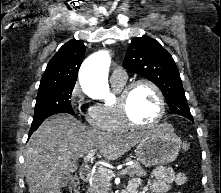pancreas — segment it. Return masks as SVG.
Returning <instances> with one entry per match:
<instances>
[{
	"mask_svg": "<svg viewBox=\"0 0 221 193\" xmlns=\"http://www.w3.org/2000/svg\"><path fill=\"white\" fill-rule=\"evenodd\" d=\"M126 161H130V159H126ZM128 176H145V170L140 166L138 162H135L133 165L128 166ZM112 171V170H110ZM110 179L102 175L98 170L92 177V181L87 189V193H108L110 190Z\"/></svg>",
	"mask_w": 221,
	"mask_h": 193,
	"instance_id": "obj_1",
	"label": "pancreas"
}]
</instances>
